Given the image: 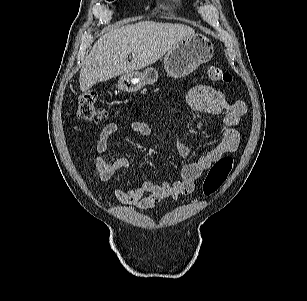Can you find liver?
<instances>
[{
	"label": "liver",
	"instance_id": "liver-1",
	"mask_svg": "<svg viewBox=\"0 0 307 301\" xmlns=\"http://www.w3.org/2000/svg\"><path fill=\"white\" fill-rule=\"evenodd\" d=\"M184 24L141 21L111 29L93 45L80 71V89L139 70L158 61L179 41L193 35ZM132 54V61L127 60Z\"/></svg>",
	"mask_w": 307,
	"mask_h": 301
}]
</instances>
